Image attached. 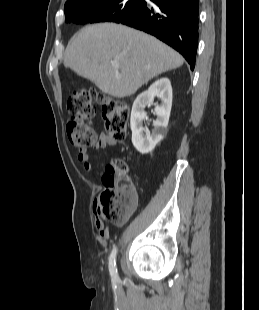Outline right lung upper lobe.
<instances>
[{
	"instance_id": "right-lung-upper-lobe-1",
	"label": "right lung upper lobe",
	"mask_w": 259,
	"mask_h": 310,
	"mask_svg": "<svg viewBox=\"0 0 259 310\" xmlns=\"http://www.w3.org/2000/svg\"><path fill=\"white\" fill-rule=\"evenodd\" d=\"M101 0H68L65 3V7H70V6H81V5H86V4H91L94 2H98Z\"/></svg>"
}]
</instances>
